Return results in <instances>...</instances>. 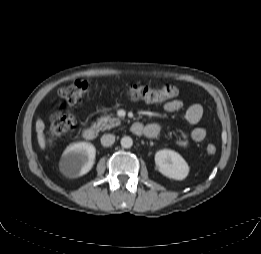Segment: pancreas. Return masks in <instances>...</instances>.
Here are the masks:
<instances>
[{"label":"pancreas","mask_w":261,"mask_h":254,"mask_svg":"<svg viewBox=\"0 0 261 254\" xmlns=\"http://www.w3.org/2000/svg\"><path fill=\"white\" fill-rule=\"evenodd\" d=\"M120 124L119 118H111L110 116H103L97 119V124L95 127L98 130L111 129Z\"/></svg>","instance_id":"1"}]
</instances>
